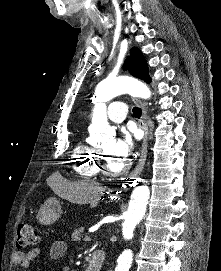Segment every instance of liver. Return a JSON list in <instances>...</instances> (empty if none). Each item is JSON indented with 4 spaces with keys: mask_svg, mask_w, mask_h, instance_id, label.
<instances>
[{
    "mask_svg": "<svg viewBox=\"0 0 221 271\" xmlns=\"http://www.w3.org/2000/svg\"><path fill=\"white\" fill-rule=\"evenodd\" d=\"M58 183H62L61 187H63V191H57L60 197L68 199L72 203H80V205L81 203H91V207H95L99 201L97 191L105 189V187L94 183L92 179H80L76 183H67L62 175H58L53 181V185H58Z\"/></svg>",
    "mask_w": 221,
    "mask_h": 271,
    "instance_id": "1",
    "label": "liver"
}]
</instances>
